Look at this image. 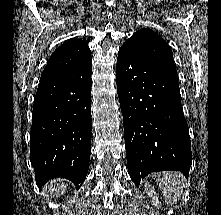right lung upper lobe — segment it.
Returning a JSON list of instances; mask_svg holds the SVG:
<instances>
[{"label":"right lung upper lobe","instance_id":"1","mask_svg":"<svg viewBox=\"0 0 221 215\" xmlns=\"http://www.w3.org/2000/svg\"><path fill=\"white\" fill-rule=\"evenodd\" d=\"M90 57L91 51L87 43L80 39H70L53 52L42 72L40 81L68 73Z\"/></svg>","mask_w":221,"mask_h":215}]
</instances>
